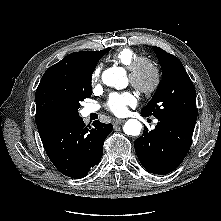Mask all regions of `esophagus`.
Segmentation results:
<instances>
[{"label": "esophagus", "instance_id": "34e87169", "mask_svg": "<svg viewBox=\"0 0 221 221\" xmlns=\"http://www.w3.org/2000/svg\"><path fill=\"white\" fill-rule=\"evenodd\" d=\"M125 120H122V119H116L113 121V124L114 125H119V124H122Z\"/></svg>", "mask_w": 221, "mask_h": 221}]
</instances>
